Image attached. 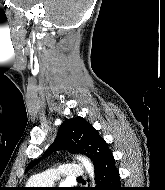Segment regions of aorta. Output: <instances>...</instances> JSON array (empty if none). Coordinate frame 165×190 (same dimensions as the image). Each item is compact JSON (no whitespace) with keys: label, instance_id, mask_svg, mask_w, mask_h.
Returning <instances> with one entry per match:
<instances>
[{"label":"aorta","instance_id":"1","mask_svg":"<svg viewBox=\"0 0 165 190\" xmlns=\"http://www.w3.org/2000/svg\"><path fill=\"white\" fill-rule=\"evenodd\" d=\"M79 160L83 162V165L85 166L87 172L89 173L90 177L94 178V168L90 161L85 157H79Z\"/></svg>","mask_w":165,"mask_h":190}]
</instances>
